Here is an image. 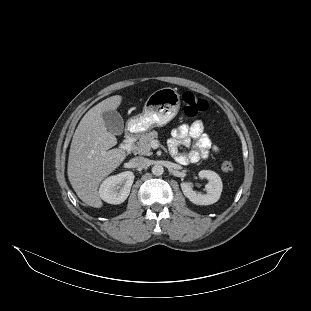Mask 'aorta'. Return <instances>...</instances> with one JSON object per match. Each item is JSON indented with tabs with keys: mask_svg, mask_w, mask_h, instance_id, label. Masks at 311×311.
Segmentation results:
<instances>
[{
	"mask_svg": "<svg viewBox=\"0 0 311 311\" xmlns=\"http://www.w3.org/2000/svg\"><path fill=\"white\" fill-rule=\"evenodd\" d=\"M152 173H153V175H155V176H160V175H162V174L164 173V168H163V166H162V165H154V166L152 167Z\"/></svg>",
	"mask_w": 311,
	"mask_h": 311,
	"instance_id": "762f6f07",
	"label": "aorta"
}]
</instances>
